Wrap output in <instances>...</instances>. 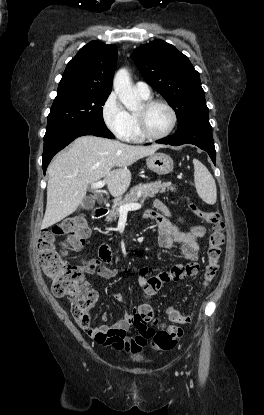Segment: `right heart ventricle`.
<instances>
[{"label": "right heart ventricle", "instance_id": "right-heart-ventricle-1", "mask_svg": "<svg viewBox=\"0 0 264 415\" xmlns=\"http://www.w3.org/2000/svg\"><path fill=\"white\" fill-rule=\"evenodd\" d=\"M141 98L144 100L149 99V97H143V96H141ZM129 118H130L129 130L123 139L129 142H140L143 138L139 135L138 130H137V121H136L135 113L134 112L129 113Z\"/></svg>", "mask_w": 264, "mask_h": 415}]
</instances>
